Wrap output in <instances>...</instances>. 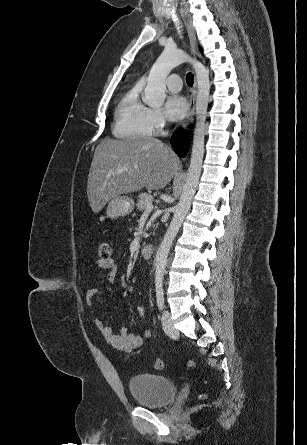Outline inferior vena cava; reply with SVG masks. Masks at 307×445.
I'll return each instance as SVG.
<instances>
[{"label": "inferior vena cava", "instance_id": "inferior-vena-cava-1", "mask_svg": "<svg viewBox=\"0 0 307 445\" xmlns=\"http://www.w3.org/2000/svg\"><path fill=\"white\" fill-rule=\"evenodd\" d=\"M163 134H167V132H163Z\"/></svg>", "mask_w": 307, "mask_h": 445}]
</instances>
